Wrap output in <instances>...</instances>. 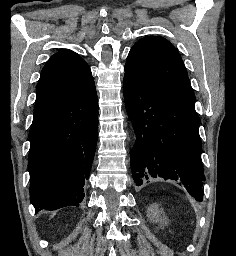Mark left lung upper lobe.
<instances>
[{
    "label": "left lung upper lobe",
    "instance_id": "5c2ea615",
    "mask_svg": "<svg viewBox=\"0 0 236 256\" xmlns=\"http://www.w3.org/2000/svg\"><path fill=\"white\" fill-rule=\"evenodd\" d=\"M125 75L195 105L184 63L178 51L161 36L145 37L135 43L127 57Z\"/></svg>",
    "mask_w": 236,
    "mask_h": 256
}]
</instances>
